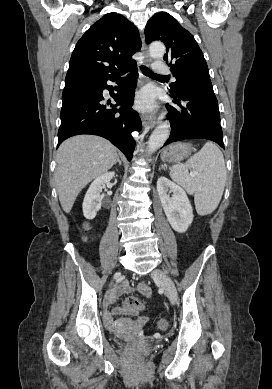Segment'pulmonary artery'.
<instances>
[{
	"label": "pulmonary artery",
	"instance_id": "obj_1",
	"mask_svg": "<svg viewBox=\"0 0 272 389\" xmlns=\"http://www.w3.org/2000/svg\"><path fill=\"white\" fill-rule=\"evenodd\" d=\"M153 67H154L155 73H157V74H160V75L170 74L169 67L164 60H161V59L156 60L154 62Z\"/></svg>",
	"mask_w": 272,
	"mask_h": 389
}]
</instances>
